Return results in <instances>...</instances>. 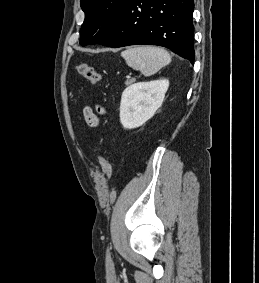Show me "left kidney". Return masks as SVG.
<instances>
[{
	"label": "left kidney",
	"instance_id": "left-kidney-1",
	"mask_svg": "<svg viewBox=\"0 0 259 283\" xmlns=\"http://www.w3.org/2000/svg\"><path fill=\"white\" fill-rule=\"evenodd\" d=\"M168 87L167 79L139 82L127 87L122 93L120 104L123 127L134 129L151 119L162 105Z\"/></svg>",
	"mask_w": 259,
	"mask_h": 283
}]
</instances>
